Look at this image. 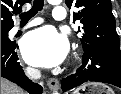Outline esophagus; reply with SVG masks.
Instances as JSON below:
<instances>
[{
	"instance_id": "obj_1",
	"label": "esophagus",
	"mask_w": 121,
	"mask_h": 94,
	"mask_svg": "<svg viewBox=\"0 0 121 94\" xmlns=\"http://www.w3.org/2000/svg\"><path fill=\"white\" fill-rule=\"evenodd\" d=\"M47 85L51 91H56L59 89V80L57 78H50L47 81Z\"/></svg>"
}]
</instances>
